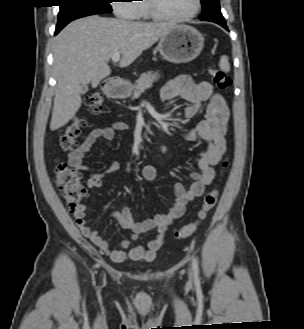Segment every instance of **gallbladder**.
Listing matches in <instances>:
<instances>
[{
    "label": "gallbladder",
    "mask_w": 304,
    "mask_h": 329,
    "mask_svg": "<svg viewBox=\"0 0 304 329\" xmlns=\"http://www.w3.org/2000/svg\"><path fill=\"white\" fill-rule=\"evenodd\" d=\"M87 91H88V85L86 84L81 85L80 93L85 94Z\"/></svg>",
    "instance_id": "obj_1"
}]
</instances>
